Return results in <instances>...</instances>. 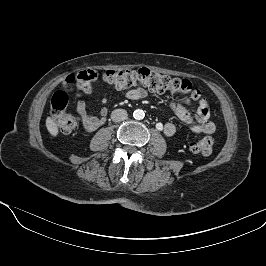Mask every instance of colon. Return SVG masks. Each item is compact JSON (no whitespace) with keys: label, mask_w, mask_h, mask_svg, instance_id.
<instances>
[{"label":"colon","mask_w":266,"mask_h":266,"mask_svg":"<svg viewBox=\"0 0 266 266\" xmlns=\"http://www.w3.org/2000/svg\"><path fill=\"white\" fill-rule=\"evenodd\" d=\"M96 73L93 71H82L77 75L67 78L66 86L75 84L78 92L89 93L92 90L93 82L96 80ZM103 80L116 89H128L142 85L154 92H170L182 96H188L192 101L204 107L207 102L201 94L192 88L191 83L186 79L173 78L154 72L148 68L108 70L102 75ZM68 95L64 90L56 91L51 98V117L64 133L72 132L78 125L76 116L66 113ZM214 141L211 137H203L190 143V151L198 155H209L213 150Z\"/></svg>","instance_id":"obj_1"}]
</instances>
